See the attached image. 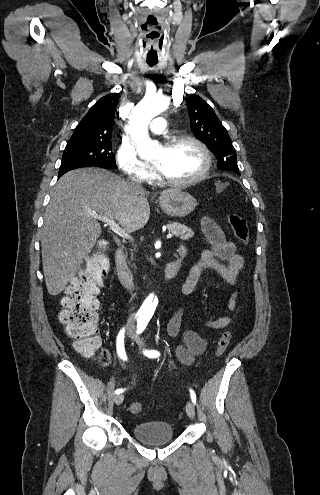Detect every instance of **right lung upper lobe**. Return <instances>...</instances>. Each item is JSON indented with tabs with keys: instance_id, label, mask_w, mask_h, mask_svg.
<instances>
[{
	"instance_id": "obj_1",
	"label": "right lung upper lobe",
	"mask_w": 320,
	"mask_h": 495,
	"mask_svg": "<svg viewBox=\"0 0 320 495\" xmlns=\"http://www.w3.org/2000/svg\"><path fill=\"white\" fill-rule=\"evenodd\" d=\"M120 94L98 100L74 130L69 142H111L114 116Z\"/></svg>"
}]
</instances>
